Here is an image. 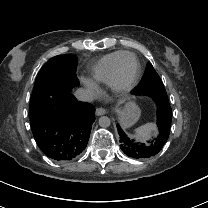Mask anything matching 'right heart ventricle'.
I'll return each instance as SVG.
<instances>
[{
  "label": "right heart ventricle",
  "mask_w": 208,
  "mask_h": 208,
  "mask_svg": "<svg viewBox=\"0 0 208 208\" xmlns=\"http://www.w3.org/2000/svg\"><path fill=\"white\" fill-rule=\"evenodd\" d=\"M136 57L127 50H119L100 58L90 69V79L99 88L114 89L113 81L118 67L126 60Z\"/></svg>",
  "instance_id": "e07e8e85"
}]
</instances>
